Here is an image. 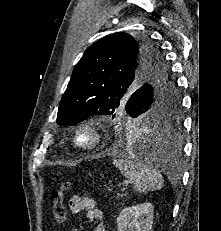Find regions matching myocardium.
Returning a JSON list of instances; mask_svg holds the SVG:
<instances>
[{
	"label": "myocardium",
	"mask_w": 221,
	"mask_h": 231,
	"mask_svg": "<svg viewBox=\"0 0 221 231\" xmlns=\"http://www.w3.org/2000/svg\"><path fill=\"white\" fill-rule=\"evenodd\" d=\"M84 135L87 136L88 141H82ZM102 140L101 126L92 121H85L78 125L73 136V143L76 148L85 152L98 148Z\"/></svg>",
	"instance_id": "myocardium-1"
}]
</instances>
